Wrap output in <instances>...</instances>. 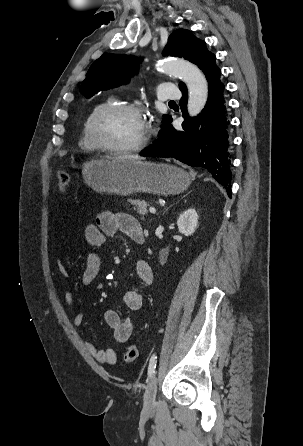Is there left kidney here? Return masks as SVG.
Wrapping results in <instances>:
<instances>
[{
  "label": "left kidney",
  "mask_w": 303,
  "mask_h": 446,
  "mask_svg": "<svg viewBox=\"0 0 303 446\" xmlns=\"http://www.w3.org/2000/svg\"><path fill=\"white\" fill-rule=\"evenodd\" d=\"M198 225V214L195 209L190 208L184 211L177 220L179 232L185 236L192 235Z\"/></svg>",
  "instance_id": "1"
}]
</instances>
